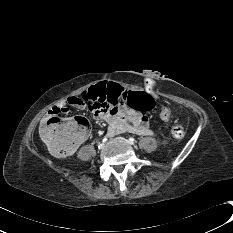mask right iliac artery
<instances>
[{"label": "right iliac artery", "instance_id": "obj_1", "mask_svg": "<svg viewBox=\"0 0 233 233\" xmlns=\"http://www.w3.org/2000/svg\"><path fill=\"white\" fill-rule=\"evenodd\" d=\"M107 140H108V139H107L106 137H104L102 141H103V142H106Z\"/></svg>", "mask_w": 233, "mask_h": 233}]
</instances>
